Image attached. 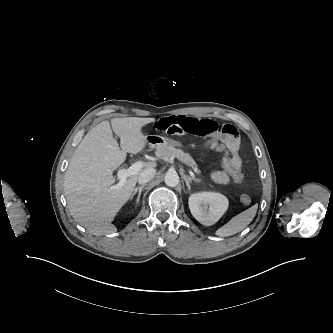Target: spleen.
Masks as SVG:
<instances>
[{
    "label": "spleen",
    "mask_w": 333,
    "mask_h": 333,
    "mask_svg": "<svg viewBox=\"0 0 333 333\" xmlns=\"http://www.w3.org/2000/svg\"><path fill=\"white\" fill-rule=\"evenodd\" d=\"M258 205L255 204L247 210L232 217L225 225L218 228L215 235L220 237L232 236L245 229L254 219Z\"/></svg>",
    "instance_id": "obj_1"
}]
</instances>
